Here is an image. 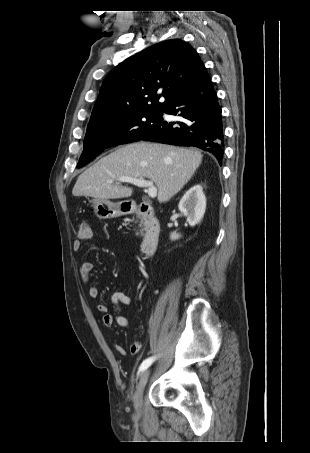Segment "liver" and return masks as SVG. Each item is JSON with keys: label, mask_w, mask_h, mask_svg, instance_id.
Here are the masks:
<instances>
[{"label": "liver", "mask_w": 310, "mask_h": 453, "mask_svg": "<svg viewBox=\"0 0 310 453\" xmlns=\"http://www.w3.org/2000/svg\"><path fill=\"white\" fill-rule=\"evenodd\" d=\"M201 162L202 154L194 149L132 143L101 158L80 174L72 194L106 200L128 198L132 188L107 181L121 176L148 178L157 186L158 201L164 203L184 187Z\"/></svg>", "instance_id": "obj_1"}]
</instances>
